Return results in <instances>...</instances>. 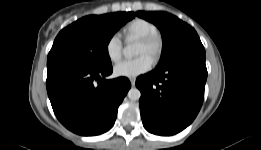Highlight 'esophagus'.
I'll return each mask as SVG.
<instances>
[{
	"label": "esophagus",
	"instance_id": "1",
	"mask_svg": "<svg viewBox=\"0 0 261 150\" xmlns=\"http://www.w3.org/2000/svg\"><path fill=\"white\" fill-rule=\"evenodd\" d=\"M130 82H131V85L134 87L135 83H136V79L135 78H130Z\"/></svg>",
	"mask_w": 261,
	"mask_h": 150
}]
</instances>
